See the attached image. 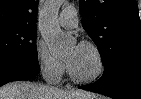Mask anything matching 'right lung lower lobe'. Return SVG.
<instances>
[{"instance_id":"98d812e1","label":"right lung lower lobe","mask_w":141,"mask_h":99,"mask_svg":"<svg viewBox=\"0 0 141 99\" xmlns=\"http://www.w3.org/2000/svg\"><path fill=\"white\" fill-rule=\"evenodd\" d=\"M40 71L38 63L25 61L0 62V86L17 80H27L36 76Z\"/></svg>"}]
</instances>
